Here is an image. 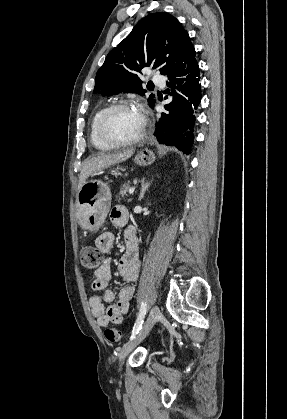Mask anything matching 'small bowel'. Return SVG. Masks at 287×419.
<instances>
[{
  "label": "small bowel",
  "mask_w": 287,
  "mask_h": 419,
  "mask_svg": "<svg viewBox=\"0 0 287 419\" xmlns=\"http://www.w3.org/2000/svg\"><path fill=\"white\" fill-rule=\"evenodd\" d=\"M110 220L114 227L125 228V247L118 262V271L122 279L130 285L121 288L117 298H115L114 291L108 287V282L111 279L109 261H105L95 271L91 286L100 295L91 297L89 306L100 327H107L110 323H121L123 316L129 312L130 301L134 294V286L131 283L136 281L141 268L138 239L133 228L128 227L129 214L127 209L123 206H115L111 210ZM113 244L114 234L111 231L101 233L95 241L96 247L104 253L110 252Z\"/></svg>",
  "instance_id": "small-bowel-1"
}]
</instances>
